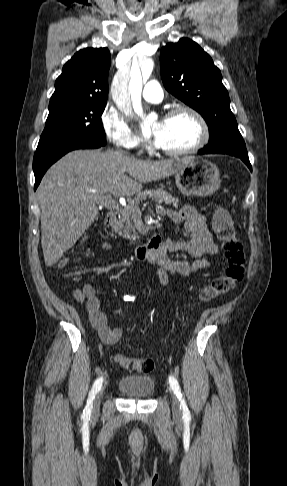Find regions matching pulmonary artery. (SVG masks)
I'll return each instance as SVG.
<instances>
[{
  "label": "pulmonary artery",
  "mask_w": 287,
  "mask_h": 486,
  "mask_svg": "<svg viewBox=\"0 0 287 486\" xmlns=\"http://www.w3.org/2000/svg\"><path fill=\"white\" fill-rule=\"evenodd\" d=\"M142 96L148 102H161L163 99V91L160 84L155 80L147 82L143 88Z\"/></svg>",
  "instance_id": "obj_1"
}]
</instances>
